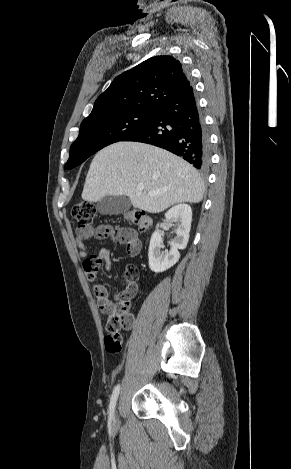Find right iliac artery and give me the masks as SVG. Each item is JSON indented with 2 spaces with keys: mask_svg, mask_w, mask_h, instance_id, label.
Returning <instances> with one entry per match:
<instances>
[{
  "mask_svg": "<svg viewBox=\"0 0 291 469\" xmlns=\"http://www.w3.org/2000/svg\"><path fill=\"white\" fill-rule=\"evenodd\" d=\"M119 391H120V385L118 384L114 388V391H113L112 396H111L110 404H109V420L110 421L113 420L114 409H115V405H116V402H117V399H118Z\"/></svg>",
  "mask_w": 291,
  "mask_h": 469,
  "instance_id": "1",
  "label": "right iliac artery"
}]
</instances>
